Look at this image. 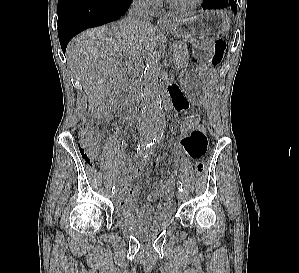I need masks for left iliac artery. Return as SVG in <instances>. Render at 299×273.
<instances>
[{
	"mask_svg": "<svg viewBox=\"0 0 299 273\" xmlns=\"http://www.w3.org/2000/svg\"><path fill=\"white\" fill-rule=\"evenodd\" d=\"M152 144H154V142L148 144V147L152 146ZM177 187H178V190H179V191L183 192V185H182V183H181L180 181H178V183H177Z\"/></svg>",
	"mask_w": 299,
	"mask_h": 273,
	"instance_id": "left-iliac-artery-1",
	"label": "left iliac artery"
}]
</instances>
